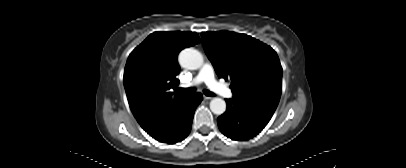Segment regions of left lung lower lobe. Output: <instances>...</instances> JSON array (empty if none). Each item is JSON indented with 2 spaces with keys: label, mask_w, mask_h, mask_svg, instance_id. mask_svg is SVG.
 Instances as JSON below:
<instances>
[{
  "label": "left lung lower lobe",
  "mask_w": 406,
  "mask_h": 168,
  "mask_svg": "<svg viewBox=\"0 0 406 168\" xmlns=\"http://www.w3.org/2000/svg\"><path fill=\"white\" fill-rule=\"evenodd\" d=\"M227 109L218 119L220 131L233 140H248L263 130L275 110L226 99Z\"/></svg>",
  "instance_id": "0a47b994"
}]
</instances>
